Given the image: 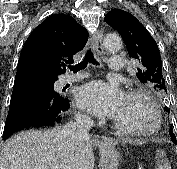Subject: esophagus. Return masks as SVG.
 <instances>
[{"instance_id": "obj_1", "label": "esophagus", "mask_w": 177, "mask_h": 169, "mask_svg": "<svg viewBox=\"0 0 177 169\" xmlns=\"http://www.w3.org/2000/svg\"><path fill=\"white\" fill-rule=\"evenodd\" d=\"M102 40H103V32L100 30H98L95 34H93V36L90 39L92 48L95 50V52L98 55H102L104 52Z\"/></svg>"}]
</instances>
